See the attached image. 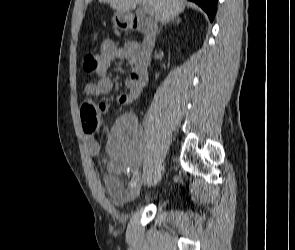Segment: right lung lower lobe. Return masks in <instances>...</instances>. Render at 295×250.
Masks as SVG:
<instances>
[{
    "label": "right lung lower lobe",
    "instance_id": "right-lung-lower-lobe-1",
    "mask_svg": "<svg viewBox=\"0 0 295 250\" xmlns=\"http://www.w3.org/2000/svg\"><path fill=\"white\" fill-rule=\"evenodd\" d=\"M192 2L197 3L200 7L204 9V11L208 14L210 21H213L216 7H217V0H189Z\"/></svg>",
    "mask_w": 295,
    "mask_h": 250
}]
</instances>
